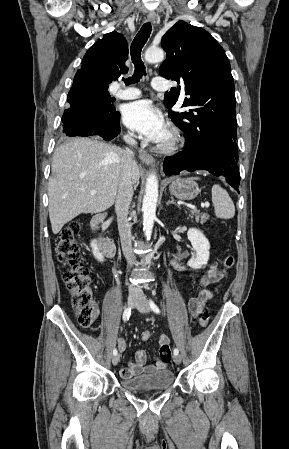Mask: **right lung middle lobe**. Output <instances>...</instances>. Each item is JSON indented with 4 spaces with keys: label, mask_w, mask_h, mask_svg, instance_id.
<instances>
[{
    "label": "right lung middle lobe",
    "mask_w": 289,
    "mask_h": 449,
    "mask_svg": "<svg viewBox=\"0 0 289 449\" xmlns=\"http://www.w3.org/2000/svg\"><path fill=\"white\" fill-rule=\"evenodd\" d=\"M107 90L108 88H105L91 93L84 108L79 113L80 119L106 120L109 118L113 111V100Z\"/></svg>",
    "instance_id": "1"
}]
</instances>
